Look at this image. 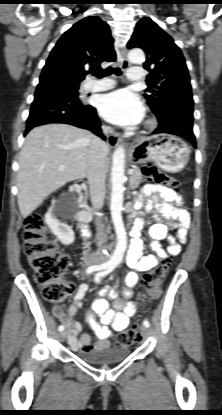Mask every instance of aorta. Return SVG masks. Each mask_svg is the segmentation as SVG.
Wrapping results in <instances>:
<instances>
[{
    "label": "aorta",
    "mask_w": 222,
    "mask_h": 415,
    "mask_svg": "<svg viewBox=\"0 0 222 415\" xmlns=\"http://www.w3.org/2000/svg\"><path fill=\"white\" fill-rule=\"evenodd\" d=\"M129 61L134 64H142L145 61L144 52L141 49H133L128 54ZM125 171V150L122 146L116 148L112 157L111 169V201L110 211L115 233L117 236V244L113 255L110 258V263L113 265L119 264L124 252L127 249V236L122 219L123 209V193H124V176Z\"/></svg>",
    "instance_id": "762f6f07"
}]
</instances>
